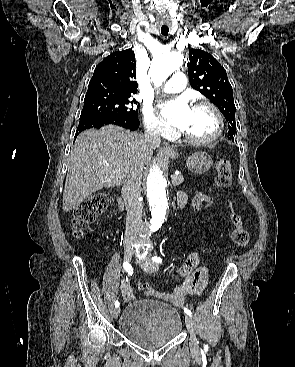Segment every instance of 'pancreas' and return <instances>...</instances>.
I'll return each mask as SVG.
<instances>
[{"instance_id":"1","label":"pancreas","mask_w":295,"mask_h":367,"mask_svg":"<svg viewBox=\"0 0 295 367\" xmlns=\"http://www.w3.org/2000/svg\"><path fill=\"white\" fill-rule=\"evenodd\" d=\"M183 181L184 177L182 176V174L175 175V178H172V184L174 186L180 185L181 183H183Z\"/></svg>"}]
</instances>
